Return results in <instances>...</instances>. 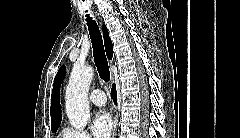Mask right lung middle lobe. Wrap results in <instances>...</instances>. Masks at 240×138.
I'll list each match as a JSON object with an SVG mask.
<instances>
[{"label": "right lung middle lobe", "mask_w": 240, "mask_h": 138, "mask_svg": "<svg viewBox=\"0 0 240 138\" xmlns=\"http://www.w3.org/2000/svg\"><path fill=\"white\" fill-rule=\"evenodd\" d=\"M58 127H59V125L52 126V128H51L52 132H56V131H57V129H58Z\"/></svg>", "instance_id": "right-lung-middle-lobe-1"}]
</instances>
